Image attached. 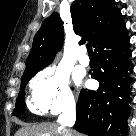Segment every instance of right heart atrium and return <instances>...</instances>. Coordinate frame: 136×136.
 <instances>
[{
	"instance_id": "1",
	"label": "right heart atrium",
	"mask_w": 136,
	"mask_h": 136,
	"mask_svg": "<svg viewBox=\"0 0 136 136\" xmlns=\"http://www.w3.org/2000/svg\"><path fill=\"white\" fill-rule=\"evenodd\" d=\"M75 100L68 75L56 68H46L30 82L29 108L35 114H58L73 110Z\"/></svg>"
}]
</instances>
